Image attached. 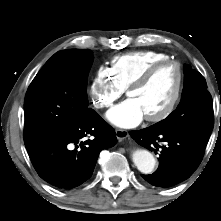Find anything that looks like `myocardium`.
Wrapping results in <instances>:
<instances>
[{
	"instance_id": "myocardium-1",
	"label": "myocardium",
	"mask_w": 221,
	"mask_h": 221,
	"mask_svg": "<svg viewBox=\"0 0 221 221\" xmlns=\"http://www.w3.org/2000/svg\"><path fill=\"white\" fill-rule=\"evenodd\" d=\"M172 65L176 68L178 74L177 85L175 89V93L167 105L161 112L146 116L145 119L149 122H160L168 118L176 109L183 92L184 87V70L180 62L173 60V59H166L159 62H156L149 66L128 88H127V95L133 90L140 89L144 87L151 78L163 67Z\"/></svg>"
}]
</instances>
